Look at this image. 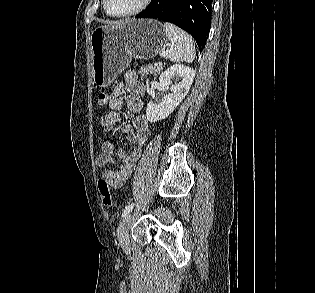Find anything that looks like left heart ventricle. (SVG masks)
<instances>
[{
  "mask_svg": "<svg viewBox=\"0 0 315 293\" xmlns=\"http://www.w3.org/2000/svg\"><path fill=\"white\" fill-rule=\"evenodd\" d=\"M142 0H108V8L113 14H124L136 9Z\"/></svg>",
  "mask_w": 315,
  "mask_h": 293,
  "instance_id": "b2bd125f",
  "label": "left heart ventricle"
}]
</instances>
